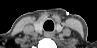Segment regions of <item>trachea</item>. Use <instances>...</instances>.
Listing matches in <instances>:
<instances>
[{
    "mask_svg": "<svg viewBox=\"0 0 97 48\" xmlns=\"http://www.w3.org/2000/svg\"><path fill=\"white\" fill-rule=\"evenodd\" d=\"M52 23V21H47L45 24H44V26L46 25V24H51Z\"/></svg>",
    "mask_w": 97,
    "mask_h": 48,
    "instance_id": "3493384b",
    "label": "trachea"
}]
</instances>
